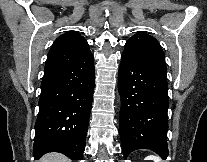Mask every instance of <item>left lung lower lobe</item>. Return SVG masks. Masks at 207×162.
I'll return each mask as SVG.
<instances>
[{"label":"left lung lower lobe","instance_id":"left-lung-lower-lobe-1","mask_svg":"<svg viewBox=\"0 0 207 162\" xmlns=\"http://www.w3.org/2000/svg\"><path fill=\"white\" fill-rule=\"evenodd\" d=\"M166 68L122 54L118 89L122 150L125 158L137 149H149L163 159L167 149L169 107Z\"/></svg>","mask_w":207,"mask_h":162}]
</instances>
